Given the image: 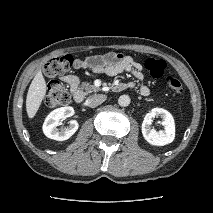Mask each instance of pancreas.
Instances as JSON below:
<instances>
[{
  "instance_id": "cf45deb5",
  "label": "pancreas",
  "mask_w": 213,
  "mask_h": 213,
  "mask_svg": "<svg viewBox=\"0 0 213 213\" xmlns=\"http://www.w3.org/2000/svg\"><path fill=\"white\" fill-rule=\"evenodd\" d=\"M82 88L85 89L87 93L96 92V91L99 90L98 88H96V87L93 86V85H90V84L87 83V82H84V83L82 84Z\"/></svg>"
}]
</instances>
